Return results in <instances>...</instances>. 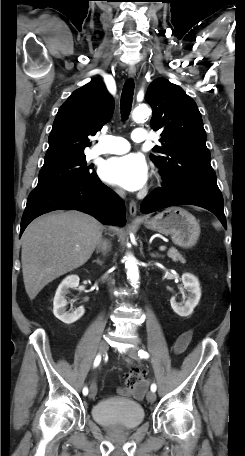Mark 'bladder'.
Instances as JSON below:
<instances>
[{
	"label": "bladder",
	"instance_id": "1",
	"mask_svg": "<svg viewBox=\"0 0 245 456\" xmlns=\"http://www.w3.org/2000/svg\"><path fill=\"white\" fill-rule=\"evenodd\" d=\"M93 420L111 429L132 430L144 421L142 406L125 398H108L97 402L91 410Z\"/></svg>",
	"mask_w": 245,
	"mask_h": 456
}]
</instances>
